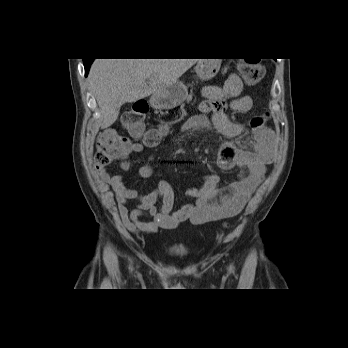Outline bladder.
<instances>
[{
    "label": "bladder",
    "instance_id": "31cf9c89",
    "mask_svg": "<svg viewBox=\"0 0 348 348\" xmlns=\"http://www.w3.org/2000/svg\"><path fill=\"white\" fill-rule=\"evenodd\" d=\"M183 251H184V247L177 244L168 245L166 248V252L169 254H178V253H182Z\"/></svg>",
    "mask_w": 348,
    "mask_h": 348
}]
</instances>
